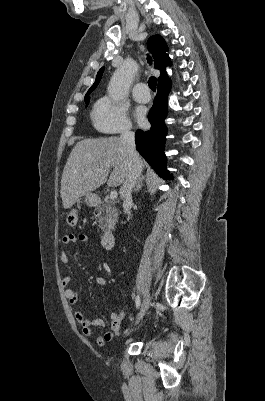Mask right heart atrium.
I'll use <instances>...</instances> for the list:
<instances>
[{"label":"right heart atrium","mask_w":265,"mask_h":401,"mask_svg":"<svg viewBox=\"0 0 265 401\" xmlns=\"http://www.w3.org/2000/svg\"><path fill=\"white\" fill-rule=\"evenodd\" d=\"M92 118L95 125L108 134L123 135L129 133L132 128L126 107L109 95L96 102Z\"/></svg>","instance_id":"d8ad5b80"}]
</instances>
